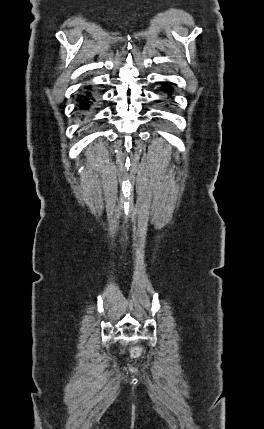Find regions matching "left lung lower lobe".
Instances as JSON below:
<instances>
[{
    "instance_id": "obj_1",
    "label": "left lung lower lobe",
    "mask_w": 264,
    "mask_h": 429,
    "mask_svg": "<svg viewBox=\"0 0 264 429\" xmlns=\"http://www.w3.org/2000/svg\"><path fill=\"white\" fill-rule=\"evenodd\" d=\"M163 90L165 91V92H168L169 94L171 93V91H172V87L170 86V85H164V88H163Z\"/></svg>"
}]
</instances>
